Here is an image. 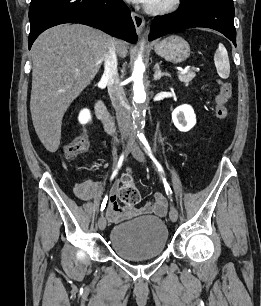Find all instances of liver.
Instances as JSON below:
<instances>
[{"label": "liver", "mask_w": 261, "mask_h": 306, "mask_svg": "<svg viewBox=\"0 0 261 306\" xmlns=\"http://www.w3.org/2000/svg\"><path fill=\"white\" fill-rule=\"evenodd\" d=\"M113 43L108 34L81 24L52 27L34 42L30 112L36 134L49 152L60 145L65 112L94 79ZM116 48L125 58V43L117 41Z\"/></svg>", "instance_id": "obj_1"}]
</instances>
